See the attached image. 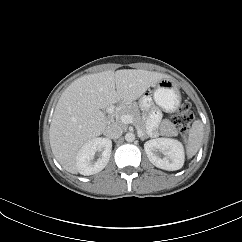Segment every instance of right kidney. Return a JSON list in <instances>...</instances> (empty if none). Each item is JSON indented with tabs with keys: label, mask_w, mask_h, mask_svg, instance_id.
<instances>
[{
	"label": "right kidney",
	"mask_w": 242,
	"mask_h": 242,
	"mask_svg": "<svg viewBox=\"0 0 242 242\" xmlns=\"http://www.w3.org/2000/svg\"><path fill=\"white\" fill-rule=\"evenodd\" d=\"M112 142L108 138H94L82 146L76 156L78 172L82 175H93L103 170L110 158ZM101 157L93 162L95 153Z\"/></svg>",
	"instance_id": "1"
}]
</instances>
